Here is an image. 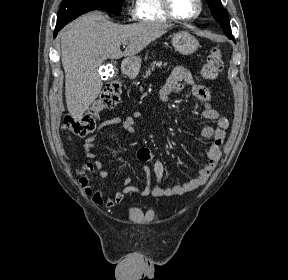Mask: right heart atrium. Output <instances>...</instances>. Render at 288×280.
Returning <instances> with one entry per match:
<instances>
[{"label": "right heart atrium", "mask_w": 288, "mask_h": 280, "mask_svg": "<svg viewBox=\"0 0 288 280\" xmlns=\"http://www.w3.org/2000/svg\"><path fill=\"white\" fill-rule=\"evenodd\" d=\"M127 12L130 17L132 18L136 17V6L133 0L129 2L128 7H127Z\"/></svg>", "instance_id": "right-heart-atrium-1"}]
</instances>
